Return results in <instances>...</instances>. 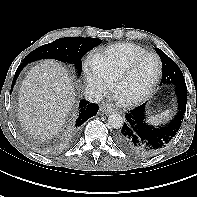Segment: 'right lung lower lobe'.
<instances>
[{
	"instance_id": "obj_1",
	"label": "right lung lower lobe",
	"mask_w": 197,
	"mask_h": 197,
	"mask_svg": "<svg viewBox=\"0 0 197 197\" xmlns=\"http://www.w3.org/2000/svg\"><path fill=\"white\" fill-rule=\"evenodd\" d=\"M27 64H28L27 62L23 61V63H21L19 67L17 68L16 73L13 78L12 87L14 86L19 73ZM98 109L99 107L97 104L89 103L85 100H82L79 105V115H78V118L76 119V122L73 128L74 129L79 128L87 119L96 115L98 112Z\"/></svg>"
}]
</instances>
